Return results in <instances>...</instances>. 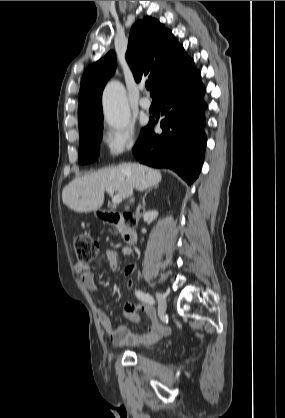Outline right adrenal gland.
<instances>
[{"label":"right adrenal gland","mask_w":285,"mask_h":418,"mask_svg":"<svg viewBox=\"0 0 285 418\" xmlns=\"http://www.w3.org/2000/svg\"><path fill=\"white\" fill-rule=\"evenodd\" d=\"M154 189H157V186H154ZM151 190H152V188H151V189H148V190L145 192V194H144V196H143V198H142V203H143V204L145 203V198H146L147 194H148Z\"/></svg>","instance_id":"2a0ac1e0"}]
</instances>
